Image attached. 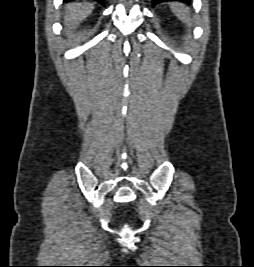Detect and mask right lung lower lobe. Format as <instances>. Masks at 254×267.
Listing matches in <instances>:
<instances>
[{
  "instance_id": "obj_1",
  "label": "right lung lower lobe",
  "mask_w": 254,
  "mask_h": 267,
  "mask_svg": "<svg viewBox=\"0 0 254 267\" xmlns=\"http://www.w3.org/2000/svg\"><path fill=\"white\" fill-rule=\"evenodd\" d=\"M66 1H71V0H66ZM95 1L99 2L100 4H104L105 0H95Z\"/></svg>"
}]
</instances>
